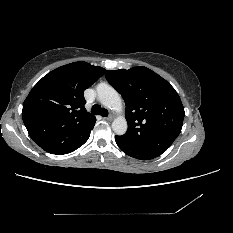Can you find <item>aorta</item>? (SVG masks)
Instances as JSON below:
<instances>
[{"label":"aorta","mask_w":233,"mask_h":233,"mask_svg":"<svg viewBox=\"0 0 233 233\" xmlns=\"http://www.w3.org/2000/svg\"><path fill=\"white\" fill-rule=\"evenodd\" d=\"M98 100L100 103L116 112L122 111V99L120 94L110 85L106 83L98 84L97 88ZM127 121L125 117L118 116L112 122V129L117 135H123L127 131Z\"/></svg>","instance_id":"aorta-1"}]
</instances>
